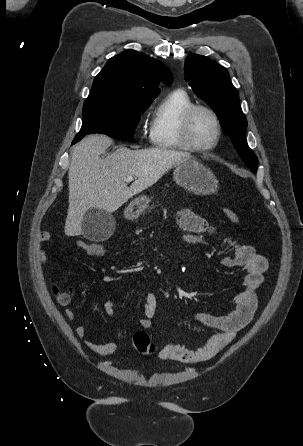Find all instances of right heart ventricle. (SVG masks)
<instances>
[{
  "mask_svg": "<svg viewBox=\"0 0 303 446\" xmlns=\"http://www.w3.org/2000/svg\"><path fill=\"white\" fill-rule=\"evenodd\" d=\"M194 104L183 89L169 92L153 112L149 137L152 145L159 149L185 150L180 139V121L183 113Z\"/></svg>",
  "mask_w": 303,
  "mask_h": 446,
  "instance_id": "obj_1",
  "label": "right heart ventricle"
}]
</instances>
